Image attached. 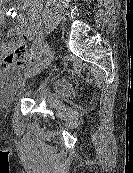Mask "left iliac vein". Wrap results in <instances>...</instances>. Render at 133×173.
Here are the masks:
<instances>
[{
	"label": "left iliac vein",
	"instance_id": "4c4485c4",
	"mask_svg": "<svg viewBox=\"0 0 133 173\" xmlns=\"http://www.w3.org/2000/svg\"><path fill=\"white\" fill-rule=\"evenodd\" d=\"M55 57V50L51 49L45 56L38 60L34 65H32L27 72L25 73V78H31L41 71H43L50 63L53 61Z\"/></svg>",
	"mask_w": 133,
	"mask_h": 173
}]
</instances>
